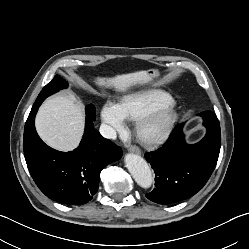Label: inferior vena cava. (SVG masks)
<instances>
[{"label":"inferior vena cava","instance_id":"1","mask_svg":"<svg viewBox=\"0 0 249 249\" xmlns=\"http://www.w3.org/2000/svg\"><path fill=\"white\" fill-rule=\"evenodd\" d=\"M101 135L107 139H116L117 133L116 130L107 124H101L99 129Z\"/></svg>","mask_w":249,"mask_h":249}]
</instances>
